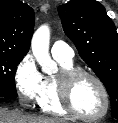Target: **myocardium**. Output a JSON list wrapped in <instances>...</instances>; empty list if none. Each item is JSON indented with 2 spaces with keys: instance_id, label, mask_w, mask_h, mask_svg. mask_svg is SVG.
Listing matches in <instances>:
<instances>
[{
  "instance_id": "1",
  "label": "myocardium",
  "mask_w": 118,
  "mask_h": 123,
  "mask_svg": "<svg viewBox=\"0 0 118 123\" xmlns=\"http://www.w3.org/2000/svg\"><path fill=\"white\" fill-rule=\"evenodd\" d=\"M83 77L92 79L102 91L104 97V110L96 116H86L81 114L72 102V88L77 80ZM58 98L63 109L73 117L84 121H98L105 118L110 110V95L104 82L94 73L84 69H63L57 78H55Z\"/></svg>"
}]
</instances>
